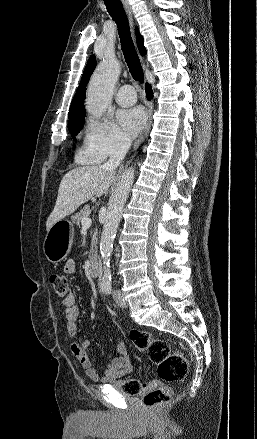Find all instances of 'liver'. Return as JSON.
Masks as SVG:
<instances>
[{
    "mask_svg": "<svg viewBox=\"0 0 257 439\" xmlns=\"http://www.w3.org/2000/svg\"><path fill=\"white\" fill-rule=\"evenodd\" d=\"M114 176V169H107L104 165L83 166L67 172L61 180L55 207L47 219V231L93 196L105 194Z\"/></svg>",
    "mask_w": 257,
    "mask_h": 439,
    "instance_id": "obj_1",
    "label": "liver"
}]
</instances>
